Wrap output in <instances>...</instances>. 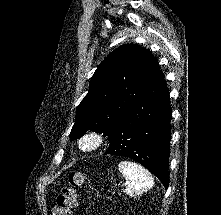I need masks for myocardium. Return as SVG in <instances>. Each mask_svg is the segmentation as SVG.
Instances as JSON below:
<instances>
[{
    "instance_id": "f54148a6",
    "label": "myocardium",
    "mask_w": 221,
    "mask_h": 215,
    "mask_svg": "<svg viewBox=\"0 0 221 215\" xmlns=\"http://www.w3.org/2000/svg\"><path fill=\"white\" fill-rule=\"evenodd\" d=\"M103 135L95 130L85 132L78 140L79 148L84 152H93L103 144Z\"/></svg>"
}]
</instances>
